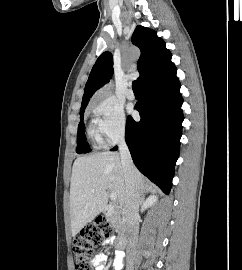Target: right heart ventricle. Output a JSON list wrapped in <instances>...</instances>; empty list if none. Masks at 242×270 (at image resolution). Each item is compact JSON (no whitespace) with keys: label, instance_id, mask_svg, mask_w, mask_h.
<instances>
[{"label":"right heart ventricle","instance_id":"right-heart-ventricle-1","mask_svg":"<svg viewBox=\"0 0 242 270\" xmlns=\"http://www.w3.org/2000/svg\"><path fill=\"white\" fill-rule=\"evenodd\" d=\"M88 135L90 137V139L94 142V143H101V137H100V133L98 131V128L94 125L91 124L88 128Z\"/></svg>","mask_w":242,"mask_h":270}]
</instances>
